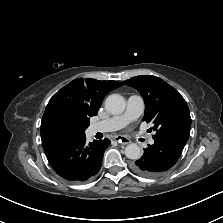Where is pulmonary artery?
<instances>
[{"instance_id":"pulmonary-artery-1","label":"pulmonary artery","mask_w":223,"mask_h":223,"mask_svg":"<svg viewBox=\"0 0 223 223\" xmlns=\"http://www.w3.org/2000/svg\"><path fill=\"white\" fill-rule=\"evenodd\" d=\"M144 110V100L140 95H131L127 99L124 113L110 117L106 120L95 122L90 125L89 133L111 132L125 127L130 122L140 117ZM150 145L154 144V139L148 140Z\"/></svg>"}]
</instances>
